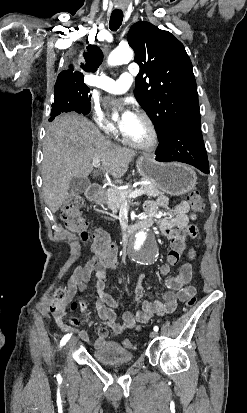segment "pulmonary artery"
Returning <instances> with one entry per match:
<instances>
[{
  "label": "pulmonary artery",
  "mask_w": 247,
  "mask_h": 413,
  "mask_svg": "<svg viewBox=\"0 0 247 413\" xmlns=\"http://www.w3.org/2000/svg\"><path fill=\"white\" fill-rule=\"evenodd\" d=\"M134 81L135 77L128 72H123L117 79L107 76H98L86 79L88 84L113 94L125 92L131 87Z\"/></svg>",
  "instance_id": "pulmonary-artery-1"
}]
</instances>
